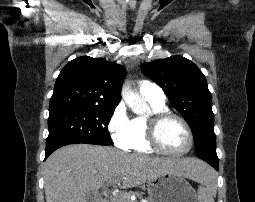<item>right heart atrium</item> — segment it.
<instances>
[{
    "label": "right heart atrium",
    "mask_w": 255,
    "mask_h": 202,
    "mask_svg": "<svg viewBox=\"0 0 255 202\" xmlns=\"http://www.w3.org/2000/svg\"><path fill=\"white\" fill-rule=\"evenodd\" d=\"M108 132L114 144L127 149L130 140V119L123 103L118 104L113 110L108 121Z\"/></svg>",
    "instance_id": "obj_1"
}]
</instances>
